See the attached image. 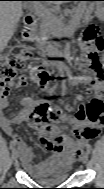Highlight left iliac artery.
I'll list each match as a JSON object with an SVG mask.
<instances>
[{
  "label": "left iliac artery",
  "mask_w": 104,
  "mask_h": 189,
  "mask_svg": "<svg viewBox=\"0 0 104 189\" xmlns=\"http://www.w3.org/2000/svg\"><path fill=\"white\" fill-rule=\"evenodd\" d=\"M86 149H87V152L90 153L91 150H92V147L88 144L87 147H86Z\"/></svg>",
  "instance_id": "44dca946"
}]
</instances>
